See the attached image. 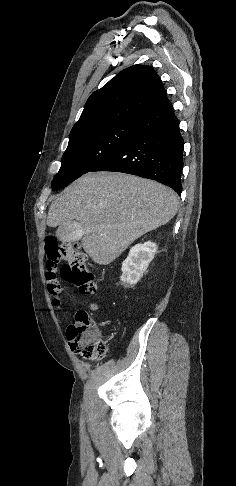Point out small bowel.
Masks as SVG:
<instances>
[{
    "label": "small bowel",
    "instance_id": "small-bowel-1",
    "mask_svg": "<svg viewBox=\"0 0 236 486\" xmlns=\"http://www.w3.org/2000/svg\"><path fill=\"white\" fill-rule=\"evenodd\" d=\"M88 307L92 311H96L98 309V305L96 303H93V302H88Z\"/></svg>",
    "mask_w": 236,
    "mask_h": 486
}]
</instances>
